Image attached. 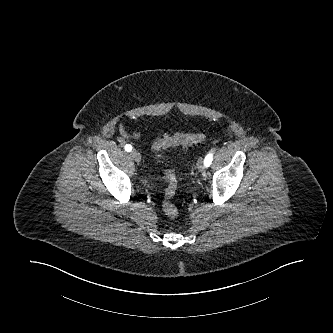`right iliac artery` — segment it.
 Listing matches in <instances>:
<instances>
[{
  "label": "right iliac artery",
  "mask_w": 333,
  "mask_h": 333,
  "mask_svg": "<svg viewBox=\"0 0 333 333\" xmlns=\"http://www.w3.org/2000/svg\"><path fill=\"white\" fill-rule=\"evenodd\" d=\"M125 150L130 152L132 150V146L130 144L125 145Z\"/></svg>",
  "instance_id": "obj_1"
}]
</instances>
